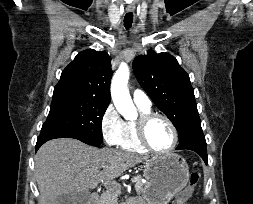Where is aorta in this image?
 <instances>
[{
	"instance_id": "762f6f07",
	"label": "aorta",
	"mask_w": 253,
	"mask_h": 204,
	"mask_svg": "<svg viewBox=\"0 0 253 204\" xmlns=\"http://www.w3.org/2000/svg\"><path fill=\"white\" fill-rule=\"evenodd\" d=\"M129 68L126 64L120 65L111 82V96L117 111L126 119L137 118V110L132 102L128 90Z\"/></svg>"
}]
</instances>
